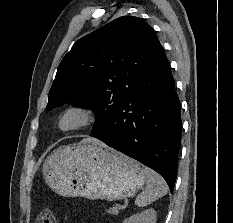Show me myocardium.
Instances as JSON below:
<instances>
[{
    "instance_id": "obj_1",
    "label": "myocardium",
    "mask_w": 233,
    "mask_h": 223,
    "mask_svg": "<svg viewBox=\"0 0 233 223\" xmlns=\"http://www.w3.org/2000/svg\"><path fill=\"white\" fill-rule=\"evenodd\" d=\"M71 111H77L81 113L85 118L84 123L75 129L67 130V131H60L58 129V123L60 119L66 113L71 112ZM99 121H100L99 113L94 107L88 104H84V103H73V104H70L64 107L63 109L59 111V113L57 114L54 120L53 127L55 131L60 135H72V134L83 133V132H86V131H89L95 128L99 124Z\"/></svg>"
}]
</instances>
